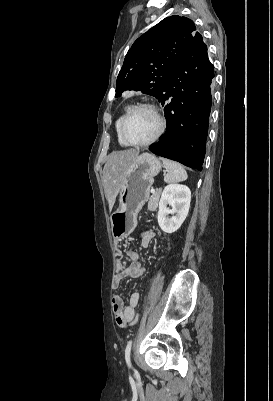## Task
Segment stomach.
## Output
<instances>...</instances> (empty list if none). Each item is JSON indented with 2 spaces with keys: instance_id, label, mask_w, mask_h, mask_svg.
Listing matches in <instances>:
<instances>
[{
  "instance_id": "1",
  "label": "stomach",
  "mask_w": 273,
  "mask_h": 401,
  "mask_svg": "<svg viewBox=\"0 0 273 401\" xmlns=\"http://www.w3.org/2000/svg\"><path fill=\"white\" fill-rule=\"evenodd\" d=\"M161 162L150 152H143L125 170V182L119 190V207L110 217L112 237L125 239L138 225L137 217L150 196L153 176L161 170Z\"/></svg>"
}]
</instances>
